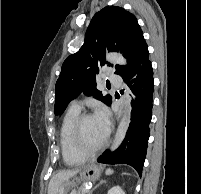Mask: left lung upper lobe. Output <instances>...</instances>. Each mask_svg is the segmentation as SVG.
<instances>
[{"label": "left lung upper lobe", "mask_w": 201, "mask_h": 194, "mask_svg": "<svg viewBox=\"0 0 201 194\" xmlns=\"http://www.w3.org/2000/svg\"><path fill=\"white\" fill-rule=\"evenodd\" d=\"M144 39L136 17L121 7L103 8L92 18L80 50L64 61L55 87V115H61L68 103L80 93L110 105L112 97L102 96L96 88V74L103 66L113 67L105 60L107 51L123 53L130 65ZM116 74L122 76L128 67L116 65Z\"/></svg>", "instance_id": "1"}]
</instances>
